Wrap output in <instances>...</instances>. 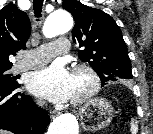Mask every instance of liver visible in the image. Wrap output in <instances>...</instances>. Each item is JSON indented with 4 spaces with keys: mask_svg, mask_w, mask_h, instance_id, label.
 <instances>
[{
    "mask_svg": "<svg viewBox=\"0 0 153 134\" xmlns=\"http://www.w3.org/2000/svg\"><path fill=\"white\" fill-rule=\"evenodd\" d=\"M0 134H8L7 131L0 130Z\"/></svg>",
    "mask_w": 153,
    "mask_h": 134,
    "instance_id": "6515ba94",
    "label": "liver"
}]
</instances>
